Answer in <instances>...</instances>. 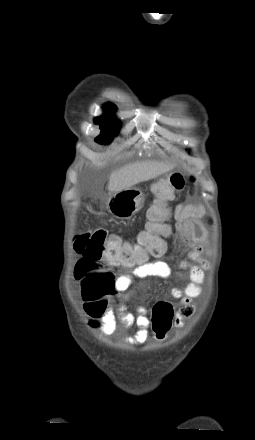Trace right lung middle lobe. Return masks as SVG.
<instances>
[{
  "label": "right lung middle lobe",
  "instance_id": "obj_1",
  "mask_svg": "<svg viewBox=\"0 0 255 440\" xmlns=\"http://www.w3.org/2000/svg\"><path fill=\"white\" fill-rule=\"evenodd\" d=\"M113 109L105 107L106 113L95 119V123L100 125L101 134L98 140L102 144H109L112 141L111 136L119 131V121L113 116Z\"/></svg>",
  "mask_w": 255,
  "mask_h": 440
}]
</instances>
